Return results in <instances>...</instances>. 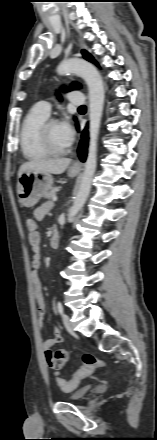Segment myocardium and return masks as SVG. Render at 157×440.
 I'll list each match as a JSON object with an SVG mask.
<instances>
[{"label": "myocardium", "mask_w": 157, "mask_h": 440, "mask_svg": "<svg viewBox=\"0 0 157 440\" xmlns=\"http://www.w3.org/2000/svg\"><path fill=\"white\" fill-rule=\"evenodd\" d=\"M54 123H58V120L56 119H46L39 128L38 136L40 143L45 148V150L52 155H63L70 151L71 146L69 145L66 148H56L53 146L50 136H49V129L50 126Z\"/></svg>", "instance_id": "1"}]
</instances>
